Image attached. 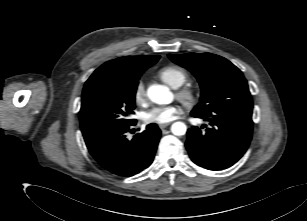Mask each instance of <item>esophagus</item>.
<instances>
[{"mask_svg":"<svg viewBox=\"0 0 307 221\" xmlns=\"http://www.w3.org/2000/svg\"><path fill=\"white\" fill-rule=\"evenodd\" d=\"M169 125H170V123L159 124V128L160 129H164V128H166Z\"/></svg>","mask_w":307,"mask_h":221,"instance_id":"obj_1","label":"esophagus"}]
</instances>
